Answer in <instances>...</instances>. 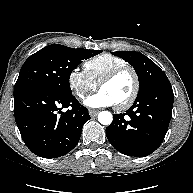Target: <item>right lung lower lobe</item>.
<instances>
[{"label": "right lung lower lobe", "instance_id": "1", "mask_svg": "<svg viewBox=\"0 0 193 193\" xmlns=\"http://www.w3.org/2000/svg\"><path fill=\"white\" fill-rule=\"evenodd\" d=\"M14 115L26 146L43 158L67 154L78 143L88 109L72 94L34 88L14 96ZM69 109L62 112L63 108Z\"/></svg>", "mask_w": 193, "mask_h": 193}]
</instances>
